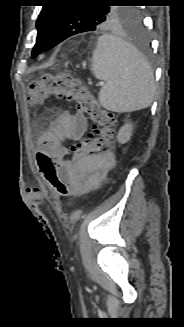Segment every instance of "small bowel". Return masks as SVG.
Listing matches in <instances>:
<instances>
[{
  "mask_svg": "<svg viewBox=\"0 0 184 327\" xmlns=\"http://www.w3.org/2000/svg\"><path fill=\"white\" fill-rule=\"evenodd\" d=\"M88 129V119L83 113H63L57 117L40 138L38 153H55L63 160H83L77 165L64 167L63 179L70 182L72 195H78L99 186L102 179L114 167L115 155L110 152L91 156L90 153H65L63 142L80 141ZM54 165V164H38ZM29 199H36V206H45V193L41 188H25Z\"/></svg>",
  "mask_w": 184,
  "mask_h": 327,
  "instance_id": "1",
  "label": "small bowel"
}]
</instances>
